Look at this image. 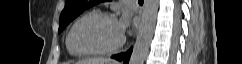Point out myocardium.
<instances>
[{
    "mask_svg": "<svg viewBox=\"0 0 242 64\" xmlns=\"http://www.w3.org/2000/svg\"><path fill=\"white\" fill-rule=\"evenodd\" d=\"M90 17H102V18H107V19H111L116 21V17L108 12H103V11H93V12H89L86 13L84 15H82L81 17H79L74 24L72 25L69 34H68V43L69 46L71 47V49L78 55L81 56H89V55H108V54H112L114 52H116L117 50H119L125 43V37L124 35H122L120 41L118 43H116L115 45H113L112 47L109 48H105V49H97V50H81L79 49L73 41V35L75 32V29L77 28V26L85 19L90 18Z\"/></svg>",
    "mask_w": 242,
    "mask_h": 64,
    "instance_id": "obj_1",
    "label": "myocardium"
}]
</instances>
